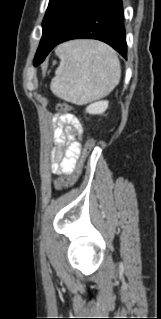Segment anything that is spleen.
<instances>
[{"label":"spleen","instance_id":"1","mask_svg":"<svg viewBox=\"0 0 161 319\" xmlns=\"http://www.w3.org/2000/svg\"><path fill=\"white\" fill-rule=\"evenodd\" d=\"M60 65L51 81L59 98L84 105L107 96L118 85L121 75L117 53L108 45L91 40H76L56 50Z\"/></svg>","mask_w":161,"mask_h":319}]
</instances>
